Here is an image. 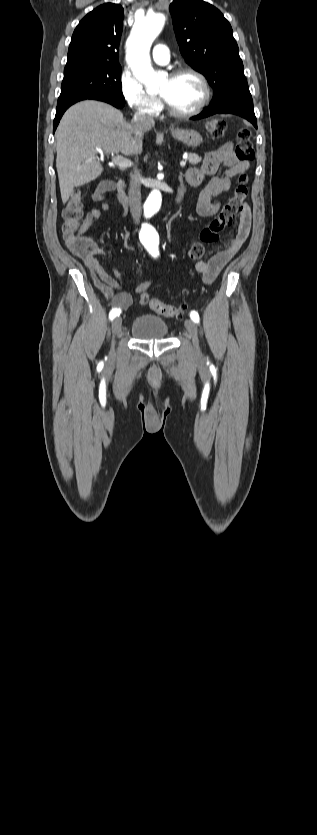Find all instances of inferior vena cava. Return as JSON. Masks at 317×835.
Listing matches in <instances>:
<instances>
[{"mask_svg":"<svg viewBox=\"0 0 317 835\" xmlns=\"http://www.w3.org/2000/svg\"><path fill=\"white\" fill-rule=\"evenodd\" d=\"M132 124L135 129V134L138 139H142L144 132L146 130L151 129L155 121L152 116H149L142 112L140 109L136 110L133 116ZM138 152L137 154H139ZM136 154V155H137ZM138 159V158H137ZM136 169V168H135ZM137 170V169H136ZM141 180L140 176H135L132 178L130 183V188L128 191L129 199H130V212L133 217L135 224L140 223L141 213H142V206H141V188L139 181Z\"/></svg>","mask_w":317,"mask_h":835,"instance_id":"602c4592","label":"inferior vena cava"}]
</instances>
